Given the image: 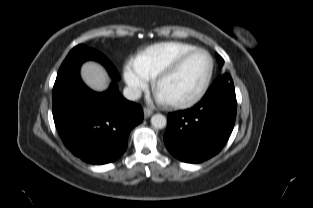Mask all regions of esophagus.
Here are the masks:
<instances>
[{
	"label": "esophagus",
	"instance_id": "34e87169",
	"mask_svg": "<svg viewBox=\"0 0 313 208\" xmlns=\"http://www.w3.org/2000/svg\"><path fill=\"white\" fill-rule=\"evenodd\" d=\"M143 113H144V117L148 118L153 114V111L150 108H144Z\"/></svg>",
	"mask_w": 313,
	"mask_h": 208
}]
</instances>
